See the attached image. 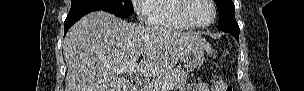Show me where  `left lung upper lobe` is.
Listing matches in <instances>:
<instances>
[{"label": "left lung upper lobe", "instance_id": "obj_1", "mask_svg": "<svg viewBox=\"0 0 304 91\" xmlns=\"http://www.w3.org/2000/svg\"><path fill=\"white\" fill-rule=\"evenodd\" d=\"M220 17L218 29L224 32L240 31L238 23L235 20V6L232 0H214Z\"/></svg>", "mask_w": 304, "mask_h": 91}]
</instances>
